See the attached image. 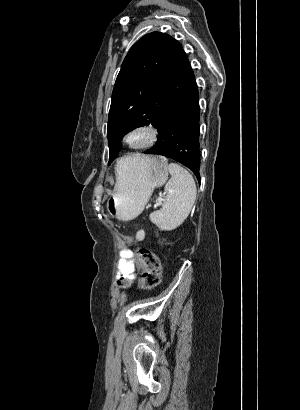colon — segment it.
Instances as JSON below:
<instances>
[{
	"label": "colon",
	"instance_id": "colon-1",
	"mask_svg": "<svg viewBox=\"0 0 300 410\" xmlns=\"http://www.w3.org/2000/svg\"><path fill=\"white\" fill-rule=\"evenodd\" d=\"M136 259L142 271L140 288L150 290L158 286L161 282V270L157 254L147 248H138ZM129 284L128 280L118 282L119 287H125Z\"/></svg>",
	"mask_w": 300,
	"mask_h": 410
}]
</instances>
